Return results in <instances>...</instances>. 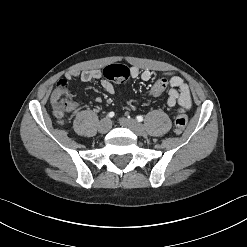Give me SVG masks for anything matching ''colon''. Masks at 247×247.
I'll return each mask as SVG.
<instances>
[{"label": "colon", "instance_id": "obj_1", "mask_svg": "<svg viewBox=\"0 0 247 247\" xmlns=\"http://www.w3.org/2000/svg\"><path fill=\"white\" fill-rule=\"evenodd\" d=\"M103 77L107 80L114 82H124L130 76V69L125 65L113 64L105 67L102 71ZM167 86L166 79L158 80L151 89V94L154 97H159L162 95L163 91ZM51 106L57 116H62V114L73 107V101L71 95L67 89V86L59 82L57 87L51 96ZM187 124V115L184 108L178 109L175 121H174V132L176 134H181Z\"/></svg>", "mask_w": 247, "mask_h": 247}]
</instances>
